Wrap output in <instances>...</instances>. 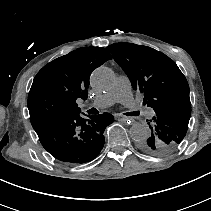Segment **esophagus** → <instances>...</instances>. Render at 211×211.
I'll return each mask as SVG.
<instances>
[{"mask_svg":"<svg viewBox=\"0 0 211 211\" xmlns=\"http://www.w3.org/2000/svg\"><path fill=\"white\" fill-rule=\"evenodd\" d=\"M118 121H120V122H126L127 124H130L131 122H134L133 119H131L130 117H126V116L119 117L118 118Z\"/></svg>","mask_w":211,"mask_h":211,"instance_id":"obj_1","label":"esophagus"}]
</instances>
